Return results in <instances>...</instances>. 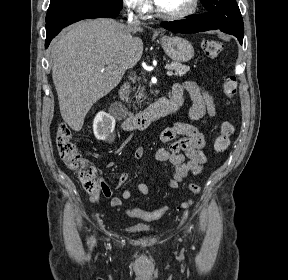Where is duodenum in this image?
Instances as JSON below:
<instances>
[{"instance_id":"duodenum-1","label":"duodenum","mask_w":288,"mask_h":280,"mask_svg":"<svg viewBox=\"0 0 288 280\" xmlns=\"http://www.w3.org/2000/svg\"><path fill=\"white\" fill-rule=\"evenodd\" d=\"M119 97L122 103L127 106L129 100V85L127 83L120 87ZM181 105L182 102L173 97L171 99L161 98L149 108L136 114L127 112L122 120V127L127 131L143 130L154 121L175 113Z\"/></svg>"}]
</instances>
